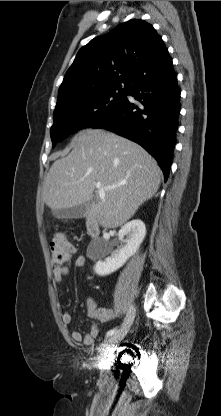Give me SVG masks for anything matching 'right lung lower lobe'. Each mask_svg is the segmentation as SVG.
<instances>
[{
    "instance_id": "right-lung-lower-lobe-1",
    "label": "right lung lower lobe",
    "mask_w": 221,
    "mask_h": 416,
    "mask_svg": "<svg viewBox=\"0 0 221 416\" xmlns=\"http://www.w3.org/2000/svg\"><path fill=\"white\" fill-rule=\"evenodd\" d=\"M128 94L138 103L126 99L110 119L93 128L107 129L140 144L157 160L166 181L180 112L176 74L172 70L166 78L139 83Z\"/></svg>"
}]
</instances>
